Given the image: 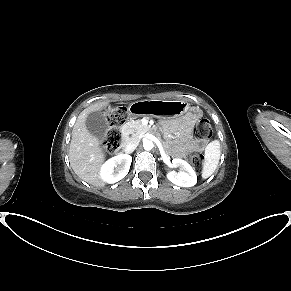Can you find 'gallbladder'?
Here are the masks:
<instances>
[{"label": "gallbladder", "mask_w": 291, "mask_h": 291, "mask_svg": "<svg viewBox=\"0 0 291 291\" xmlns=\"http://www.w3.org/2000/svg\"><path fill=\"white\" fill-rule=\"evenodd\" d=\"M86 128L91 135L103 139L108 129L105 117L100 112H91L86 118Z\"/></svg>", "instance_id": "bac80fb5"}]
</instances>
